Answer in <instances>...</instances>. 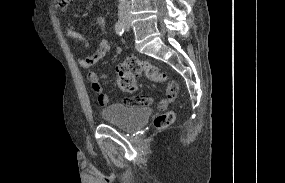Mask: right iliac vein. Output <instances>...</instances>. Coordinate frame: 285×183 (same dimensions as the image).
Wrapping results in <instances>:
<instances>
[{"mask_svg": "<svg viewBox=\"0 0 285 183\" xmlns=\"http://www.w3.org/2000/svg\"><path fill=\"white\" fill-rule=\"evenodd\" d=\"M128 22V19L127 18H123L122 19V23L126 24Z\"/></svg>", "mask_w": 285, "mask_h": 183, "instance_id": "63e3f726", "label": "right iliac vein"}]
</instances>
